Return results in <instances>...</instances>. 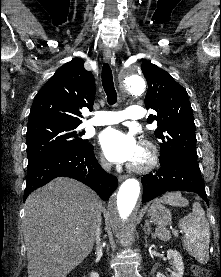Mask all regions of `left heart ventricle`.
<instances>
[{
	"mask_svg": "<svg viewBox=\"0 0 221 277\" xmlns=\"http://www.w3.org/2000/svg\"><path fill=\"white\" fill-rule=\"evenodd\" d=\"M143 160H144V153H143V150L140 147L137 156L135 157V159L132 162H141Z\"/></svg>",
	"mask_w": 221,
	"mask_h": 277,
	"instance_id": "obj_1",
	"label": "left heart ventricle"
}]
</instances>
